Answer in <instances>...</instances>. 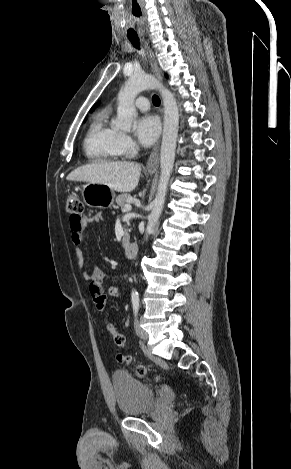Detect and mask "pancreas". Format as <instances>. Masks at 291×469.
Masks as SVG:
<instances>
[{
    "label": "pancreas",
    "mask_w": 291,
    "mask_h": 469,
    "mask_svg": "<svg viewBox=\"0 0 291 469\" xmlns=\"http://www.w3.org/2000/svg\"><path fill=\"white\" fill-rule=\"evenodd\" d=\"M130 199H131L130 194H121L116 198V203H117L118 206L124 207ZM128 239H129V235H128V232L126 231L125 235L123 237V243L125 244V242H127Z\"/></svg>",
    "instance_id": "pancreas-1"
}]
</instances>
